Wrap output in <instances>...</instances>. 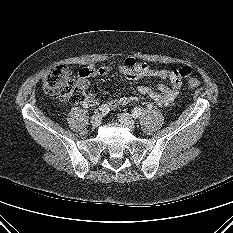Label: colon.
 <instances>
[{
	"label": "colon",
	"instance_id": "1",
	"mask_svg": "<svg viewBox=\"0 0 233 233\" xmlns=\"http://www.w3.org/2000/svg\"><path fill=\"white\" fill-rule=\"evenodd\" d=\"M178 74L182 78H188V86L191 89L199 86V81L192 77L193 69L191 67L180 68ZM43 88L46 93L56 95L62 102L79 104L85 99L83 91L76 86L69 68L65 65L56 66L45 73Z\"/></svg>",
	"mask_w": 233,
	"mask_h": 233
}]
</instances>
